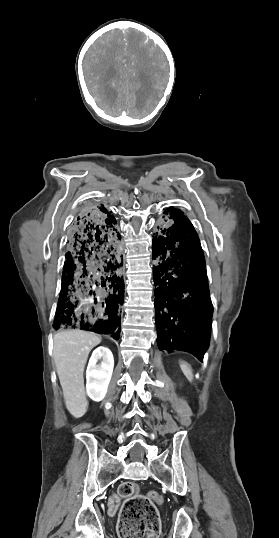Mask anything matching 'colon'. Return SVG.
Listing matches in <instances>:
<instances>
[{
  "label": "colon",
  "instance_id": "obj_1",
  "mask_svg": "<svg viewBox=\"0 0 279 538\" xmlns=\"http://www.w3.org/2000/svg\"><path fill=\"white\" fill-rule=\"evenodd\" d=\"M118 492L125 498L118 523L120 538H156L160 520L153 502L160 503L161 496L157 492L142 495L132 482L121 484Z\"/></svg>",
  "mask_w": 279,
  "mask_h": 538
}]
</instances>
